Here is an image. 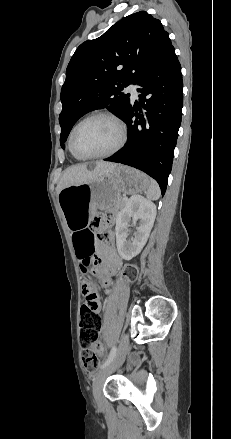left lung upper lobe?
<instances>
[{"label":"left lung upper lobe","mask_w":231,"mask_h":439,"mask_svg":"<svg viewBox=\"0 0 231 439\" xmlns=\"http://www.w3.org/2000/svg\"><path fill=\"white\" fill-rule=\"evenodd\" d=\"M171 46L161 22L145 11L123 18L99 38L82 43L68 64L61 89L62 148L84 114L107 108L121 118L130 104L124 87L137 84Z\"/></svg>","instance_id":"obj_1"}]
</instances>
